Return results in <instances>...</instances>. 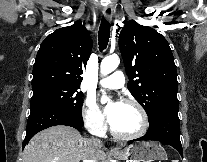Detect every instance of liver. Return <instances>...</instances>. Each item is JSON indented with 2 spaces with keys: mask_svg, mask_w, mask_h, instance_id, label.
I'll use <instances>...</instances> for the list:
<instances>
[{
  "mask_svg": "<svg viewBox=\"0 0 207 162\" xmlns=\"http://www.w3.org/2000/svg\"><path fill=\"white\" fill-rule=\"evenodd\" d=\"M102 146L65 125L49 127L37 133L23 151V162H80L105 160Z\"/></svg>",
  "mask_w": 207,
  "mask_h": 162,
  "instance_id": "6515ba94",
  "label": "liver"
}]
</instances>
